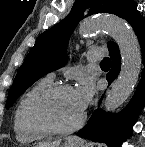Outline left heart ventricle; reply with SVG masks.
I'll return each instance as SVG.
<instances>
[{
	"mask_svg": "<svg viewBox=\"0 0 145 147\" xmlns=\"http://www.w3.org/2000/svg\"><path fill=\"white\" fill-rule=\"evenodd\" d=\"M49 113L60 126H70L81 117L83 110L79 107L73 90L65 91L49 103Z\"/></svg>",
	"mask_w": 145,
	"mask_h": 147,
	"instance_id": "obj_1",
	"label": "left heart ventricle"
}]
</instances>
